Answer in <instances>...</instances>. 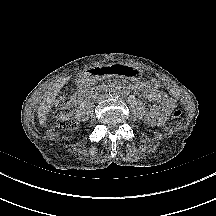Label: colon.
I'll list each match as a JSON object with an SVG mask.
<instances>
[{
  "instance_id": "5ec220e1",
  "label": "colon",
  "mask_w": 216,
  "mask_h": 216,
  "mask_svg": "<svg viewBox=\"0 0 216 216\" xmlns=\"http://www.w3.org/2000/svg\"><path fill=\"white\" fill-rule=\"evenodd\" d=\"M182 112L179 109L171 113V118L174 120L179 119ZM56 124L60 130H73L77 126V121L72 113L71 102L66 97H60L56 101L55 106Z\"/></svg>"
}]
</instances>
